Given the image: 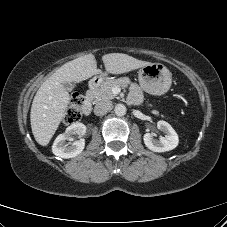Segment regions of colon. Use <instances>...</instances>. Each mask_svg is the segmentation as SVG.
Instances as JSON below:
<instances>
[{
    "mask_svg": "<svg viewBox=\"0 0 227 227\" xmlns=\"http://www.w3.org/2000/svg\"><path fill=\"white\" fill-rule=\"evenodd\" d=\"M83 101H84V98L82 94L78 92H75L72 94L69 106L64 116V122L66 124H72L79 121L82 114Z\"/></svg>",
    "mask_w": 227,
    "mask_h": 227,
    "instance_id": "1",
    "label": "colon"
}]
</instances>
